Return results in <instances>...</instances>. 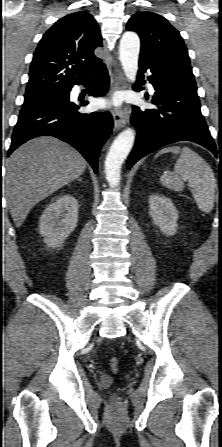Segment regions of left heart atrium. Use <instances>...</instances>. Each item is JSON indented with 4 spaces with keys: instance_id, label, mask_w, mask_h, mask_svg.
Masks as SVG:
<instances>
[{
    "instance_id": "obj_1",
    "label": "left heart atrium",
    "mask_w": 222,
    "mask_h": 447,
    "mask_svg": "<svg viewBox=\"0 0 222 447\" xmlns=\"http://www.w3.org/2000/svg\"><path fill=\"white\" fill-rule=\"evenodd\" d=\"M100 105L102 107H117L120 105V98L118 96H114L110 99L101 100Z\"/></svg>"
}]
</instances>
